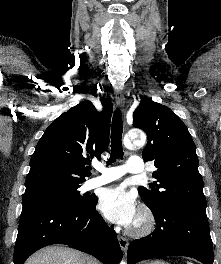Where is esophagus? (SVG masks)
Returning a JSON list of instances; mask_svg holds the SVG:
<instances>
[{
	"label": "esophagus",
	"instance_id": "esophagus-1",
	"mask_svg": "<svg viewBox=\"0 0 221 264\" xmlns=\"http://www.w3.org/2000/svg\"><path fill=\"white\" fill-rule=\"evenodd\" d=\"M115 100H116L117 105L123 109L124 104H125V97H124V94L122 91H120V90L115 91ZM118 242H119V245H120L122 251L125 252L128 248V245H129L128 239L119 235L118 236Z\"/></svg>",
	"mask_w": 221,
	"mask_h": 264
}]
</instances>
